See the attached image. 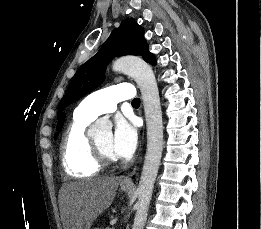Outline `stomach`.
<instances>
[{
  "label": "stomach",
  "instance_id": "1",
  "mask_svg": "<svg viewBox=\"0 0 261 229\" xmlns=\"http://www.w3.org/2000/svg\"><path fill=\"white\" fill-rule=\"evenodd\" d=\"M128 187H121V191H127Z\"/></svg>",
  "mask_w": 261,
  "mask_h": 229
}]
</instances>
